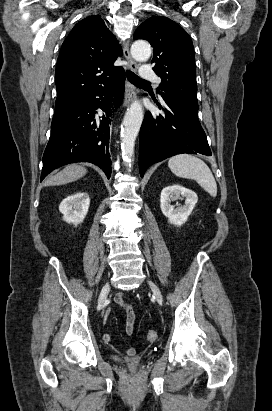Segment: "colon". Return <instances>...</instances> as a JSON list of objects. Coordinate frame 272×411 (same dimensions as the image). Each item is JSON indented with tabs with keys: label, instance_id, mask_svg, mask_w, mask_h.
<instances>
[{
	"label": "colon",
	"instance_id": "obj_1",
	"mask_svg": "<svg viewBox=\"0 0 272 411\" xmlns=\"http://www.w3.org/2000/svg\"><path fill=\"white\" fill-rule=\"evenodd\" d=\"M157 338H158V333L155 330H149L145 335V339L147 342H154L157 340Z\"/></svg>",
	"mask_w": 272,
	"mask_h": 411
}]
</instances>
